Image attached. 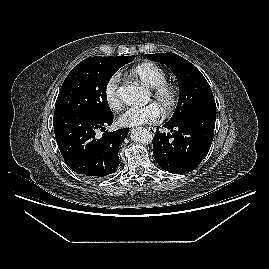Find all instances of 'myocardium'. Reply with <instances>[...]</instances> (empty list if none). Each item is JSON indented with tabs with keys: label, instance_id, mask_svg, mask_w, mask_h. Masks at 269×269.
I'll list each match as a JSON object with an SVG mask.
<instances>
[{
	"label": "myocardium",
	"instance_id": "myocardium-1",
	"mask_svg": "<svg viewBox=\"0 0 269 269\" xmlns=\"http://www.w3.org/2000/svg\"><path fill=\"white\" fill-rule=\"evenodd\" d=\"M179 90L176 86L164 83L153 89V99L161 104L162 113L171 115L179 103Z\"/></svg>",
	"mask_w": 269,
	"mask_h": 269
}]
</instances>
